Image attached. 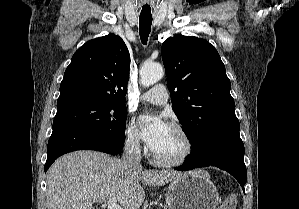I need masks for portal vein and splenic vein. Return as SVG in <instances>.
I'll return each instance as SVG.
<instances>
[{
    "label": "portal vein and splenic vein",
    "mask_w": 299,
    "mask_h": 209,
    "mask_svg": "<svg viewBox=\"0 0 299 209\" xmlns=\"http://www.w3.org/2000/svg\"><path fill=\"white\" fill-rule=\"evenodd\" d=\"M107 209H122V207L117 204V198L115 196L109 199Z\"/></svg>",
    "instance_id": "obj_1"
}]
</instances>
